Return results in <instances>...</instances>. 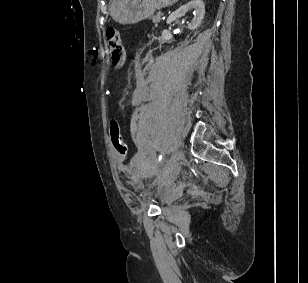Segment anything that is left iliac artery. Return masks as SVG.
<instances>
[{"label":"left iliac artery","mask_w":308,"mask_h":283,"mask_svg":"<svg viewBox=\"0 0 308 283\" xmlns=\"http://www.w3.org/2000/svg\"><path fill=\"white\" fill-rule=\"evenodd\" d=\"M158 160L159 162L162 160V155L159 156Z\"/></svg>","instance_id":"1"}]
</instances>
